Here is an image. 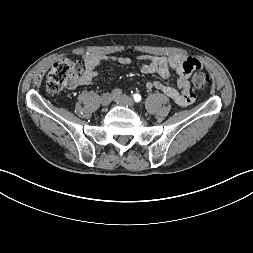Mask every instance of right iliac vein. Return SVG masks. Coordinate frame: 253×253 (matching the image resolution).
<instances>
[{
  "mask_svg": "<svg viewBox=\"0 0 253 253\" xmlns=\"http://www.w3.org/2000/svg\"><path fill=\"white\" fill-rule=\"evenodd\" d=\"M112 101V95L110 93H104L100 98L102 106H108Z\"/></svg>",
  "mask_w": 253,
  "mask_h": 253,
  "instance_id": "obj_1",
  "label": "right iliac vein"
}]
</instances>
